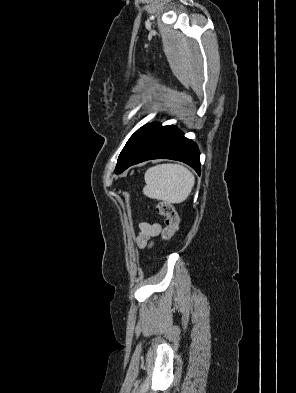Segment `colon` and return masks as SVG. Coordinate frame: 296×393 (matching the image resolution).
<instances>
[{
	"label": "colon",
	"instance_id": "5ec220e1",
	"mask_svg": "<svg viewBox=\"0 0 296 393\" xmlns=\"http://www.w3.org/2000/svg\"><path fill=\"white\" fill-rule=\"evenodd\" d=\"M156 212L165 218L163 239L166 241H170L178 229V214L174 206L171 203L165 201H161L156 204Z\"/></svg>",
	"mask_w": 296,
	"mask_h": 393
}]
</instances>
